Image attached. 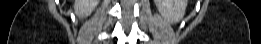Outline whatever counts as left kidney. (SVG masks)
Segmentation results:
<instances>
[{
	"label": "left kidney",
	"instance_id": "obj_1",
	"mask_svg": "<svg viewBox=\"0 0 261 44\" xmlns=\"http://www.w3.org/2000/svg\"><path fill=\"white\" fill-rule=\"evenodd\" d=\"M162 17L170 23H178L184 16L187 0H154Z\"/></svg>",
	"mask_w": 261,
	"mask_h": 44
}]
</instances>
